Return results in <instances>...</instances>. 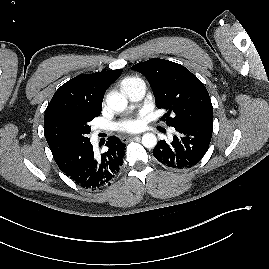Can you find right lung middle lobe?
Returning <instances> with one entry per match:
<instances>
[{
	"label": "right lung middle lobe",
	"instance_id": "obj_1",
	"mask_svg": "<svg viewBox=\"0 0 269 269\" xmlns=\"http://www.w3.org/2000/svg\"><path fill=\"white\" fill-rule=\"evenodd\" d=\"M94 117L62 114L55 117L45 130V138L54 158L68 153L88 142L90 121Z\"/></svg>",
	"mask_w": 269,
	"mask_h": 269
}]
</instances>
